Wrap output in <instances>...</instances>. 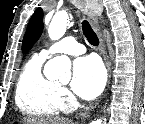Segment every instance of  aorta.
<instances>
[{
    "label": "aorta",
    "mask_w": 145,
    "mask_h": 124,
    "mask_svg": "<svg viewBox=\"0 0 145 124\" xmlns=\"http://www.w3.org/2000/svg\"><path fill=\"white\" fill-rule=\"evenodd\" d=\"M68 15L60 12L54 15L48 27V35L51 40H59L66 32ZM71 62L67 56H57L50 59L44 67V76L49 80L59 79L61 82H68L71 78ZM92 124H102L96 120Z\"/></svg>",
    "instance_id": "1"
}]
</instances>
